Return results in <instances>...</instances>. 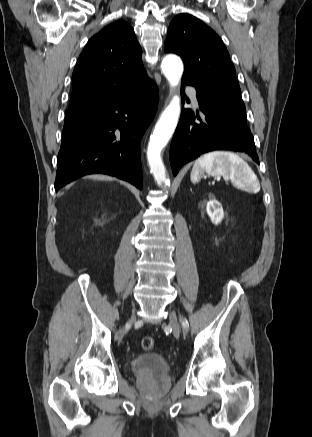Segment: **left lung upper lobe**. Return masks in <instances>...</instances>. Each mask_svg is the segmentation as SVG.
Instances as JSON below:
<instances>
[{
	"label": "left lung upper lobe",
	"instance_id": "left-lung-upper-lobe-1",
	"mask_svg": "<svg viewBox=\"0 0 312 437\" xmlns=\"http://www.w3.org/2000/svg\"><path fill=\"white\" fill-rule=\"evenodd\" d=\"M164 50L184 61L182 81L194 86L199 95L223 103L246 123L235 68L211 28L190 14H179L169 25Z\"/></svg>",
	"mask_w": 312,
	"mask_h": 437
}]
</instances>
